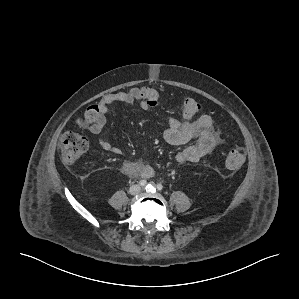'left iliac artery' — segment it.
Listing matches in <instances>:
<instances>
[{"label": "left iliac artery", "instance_id": "1", "mask_svg": "<svg viewBox=\"0 0 299 299\" xmlns=\"http://www.w3.org/2000/svg\"><path fill=\"white\" fill-rule=\"evenodd\" d=\"M157 189L158 190H162L163 189V185L162 184H157ZM146 191L147 192H152V186L150 185V184H148L147 186H146Z\"/></svg>", "mask_w": 299, "mask_h": 299}]
</instances>
